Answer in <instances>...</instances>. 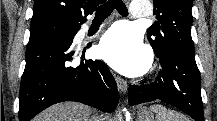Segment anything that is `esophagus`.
Instances as JSON below:
<instances>
[{"label": "esophagus", "mask_w": 217, "mask_h": 121, "mask_svg": "<svg viewBox=\"0 0 217 121\" xmlns=\"http://www.w3.org/2000/svg\"><path fill=\"white\" fill-rule=\"evenodd\" d=\"M115 80H116V83H117V86H118V89L120 90V92L125 94L127 92V89H128L127 82L119 76H115Z\"/></svg>", "instance_id": "34e87169"}]
</instances>
